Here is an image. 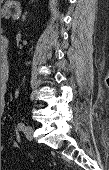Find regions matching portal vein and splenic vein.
<instances>
[{"label":"portal vein and splenic vein","instance_id":"portal-vein-and-splenic-vein-1","mask_svg":"<svg viewBox=\"0 0 109 170\" xmlns=\"http://www.w3.org/2000/svg\"><path fill=\"white\" fill-rule=\"evenodd\" d=\"M11 16H12V15H11V14H9V15L6 17V19H9ZM18 18H19V16H18V15H15V16L13 17V19H14V20H16V19H18Z\"/></svg>","mask_w":109,"mask_h":170}]
</instances>
